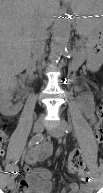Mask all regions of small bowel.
I'll return each instance as SVG.
<instances>
[{
	"label": "small bowel",
	"mask_w": 103,
	"mask_h": 193,
	"mask_svg": "<svg viewBox=\"0 0 103 193\" xmlns=\"http://www.w3.org/2000/svg\"><path fill=\"white\" fill-rule=\"evenodd\" d=\"M79 105L82 110L91 115L95 109L94 98L91 94H82L79 96ZM7 134L5 132V138ZM4 138V141H5ZM51 145L49 142H43L42 144L28 150L25 154L26 165L23 167V173L25 179L19 182V185L15 187L13 192L16 193H52L54 189L53 171L45 168H32L31 165L46 159L51 154ZM86 180L88 176H85ZM12 180V179H11ZM14 185L11 187L13 188ZM88 184H77L75 181L70 180L67 182L58 193H88Z\"/></svg>",
	"instance_id": "obj_1"
}]
</instances>
